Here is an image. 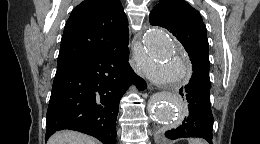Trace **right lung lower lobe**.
Returning <instances> with one entry per match:
<instances>
[{
    "label": "right lung lower lobe",
    "instance_id": "1",
    "mask_svg": "<svg viewBox=\"0 0 260 144\" xmlns=\"http://www.w3.org/2000/svg\"><path fill=\"white\" fill-rule=\"evenodd\" d=\"M128 45L57 65L47 110L46 140L61 129L76 130L116 144L119 102L130 82L145 81L131 68Z\"/></svg>",
    "mask_w": 260,
    "mask_h": 144
}]
</instances>
